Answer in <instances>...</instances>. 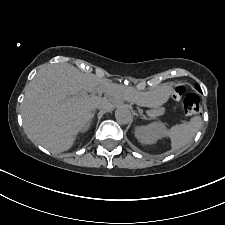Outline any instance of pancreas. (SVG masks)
I'll return each instance as SVG.
<instances>
[{
	"instance_id": "cf45deb5",
	"label": "pancreas",
	"mask_w": 225,
	"mask_h": 225,
	"mask_svg": "<svg viewBox=\"0 0 225 225\" xmlns=\"http://www.w3.org/2000/svg\"><path fill=\"white\" fill-rule=\"evenodd\" d=\"M149 114L152 118H156L157 116L164 114V108L152 109L149 111Z\"/></svg>"
}]
</instances>
